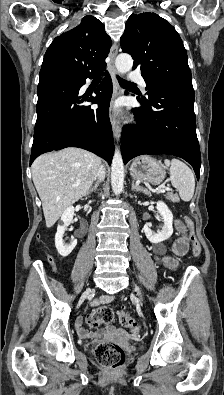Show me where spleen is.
<instances>
[{"mask_svg": "<svg viewBox=\"0 0 224 395\" xmlns=\"http://www.w3.org/2000/svg\"><path fill=\"white\" fill-rule=\"evenodd\" d=\"M165 164L170 167V180L175 187L180 198L188 202L192 199L195 189V179L191 169L179 159H166Z\"/></svg>", "mask_w": 224, "mask_h": 395, "instance_id": "obj_1", "label": "spleen"}]
</instances>
